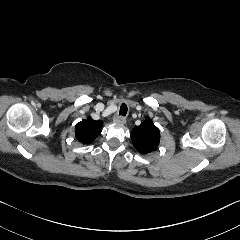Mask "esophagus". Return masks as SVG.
<instances>
[{"instance_id":"obj_1","label":"esophagus","mask_w":240,"mask_h":240,"mask_svg":"<svg viewBox=\"0 0 240 240\" xmlns=\"http://www.w3.org/2000/svg\"><path fill=\"white\" fill-rule=\"evenodd\" d=\"M113 121L117 124H125L126 118L122 116H114Z\"/></svg>"}]
</instances>
